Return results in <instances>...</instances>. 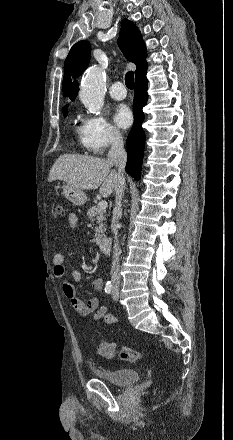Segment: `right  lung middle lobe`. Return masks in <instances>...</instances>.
<instances>
[{"label":"right lung middle lobe","mask_w":233,"mask_h":440,"mask_svg":"<svg viewBox=\"0 0 233 440\" xmlns=\"http://www.w3.org/2000/svg\"><path fill=\"white\" fill-rule=\"evenodd\" d=\"M63 114H64V116L66 117L67 109L63 110Z\"/></svg>","instance_id":"obj_1"}]
</instances>
